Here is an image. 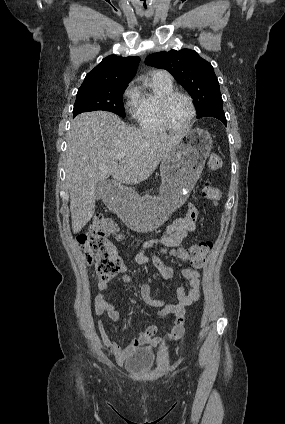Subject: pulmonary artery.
Listing matches in <instances>:
<instances>
[{
	"mask_svg": "<svg viewBox=\"0 0 285 424\" xmlns=\"http://www.w3.org/2000/svg\"><path fill=\"white\" fill-rule=\"evenodd\" d=\"M154 75L158 76L159 78L163 80L171 81V75L165 70H156L154 72Z\"/></svg>",
	"mask_w": 285,
	"mask_h": 424,
	"instance_id": "e3ab8cb5",
	"label": "pulmonary artery"
}]
</instances>
